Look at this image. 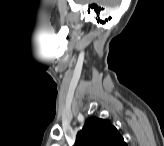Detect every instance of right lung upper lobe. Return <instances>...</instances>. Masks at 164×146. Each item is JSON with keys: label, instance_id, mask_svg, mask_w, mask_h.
I'll list each match as a JSON object with an SVG mask.
<instances>
[{"label": "right lung upper lobe", "instance_id": "1", "mask_svg": "<svg viewBox=\"0 0 164 146\" xmlns=\"http://www.w3.org/2000/svg\"><path fill=\"white\" fill-rule=\"evenodd\" d=\"M75 146H125V142L109 122L91 117L77 134Z\"/></svg>", "mask_w": 164, "mask_h": 146}]
</instances>
